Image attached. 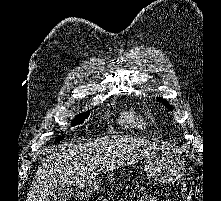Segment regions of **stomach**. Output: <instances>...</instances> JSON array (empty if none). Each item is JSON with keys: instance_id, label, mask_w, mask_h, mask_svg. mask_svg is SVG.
<instances>
[{"instance_id": "1", "label": "stomach", "mask_w": 221, "mask_h": 201, "mask_svg": "<svg viewBox=\"0 0 221 201\" xmlns=\"http://www.w3.org/2000/svg\"><path fill=\"white\" fill-rule=\"evenodd\" d=\"M185 170V160L177 149L167 148L159 150L146 157L144 171L149 179L158 183H170L177 180ZM100 186L96 180L88 185L79 187L77 194L87 197Z\"/></svg>"}]
</instances>
